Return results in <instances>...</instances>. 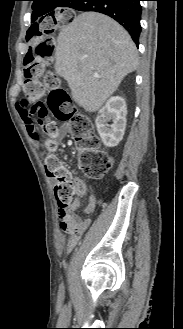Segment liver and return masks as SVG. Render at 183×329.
Masks as SVG:
<instances>
[{"label":"liver","mask_w":183,"mask_h":329,"mask_svg":"<svg viewBox=\"0 0 183 329\" xmlns=\"http://www.w3.org/2000/svg\"><path fill=\"white\" fill-rule=\"evenodd\" d=\"M55 71L73 99L88 112L97 111L138 66L137 49L128 32L108 16L78 15L63 27L55 47Z\"/></svg>","instance_id":"1"}]
</instances>
